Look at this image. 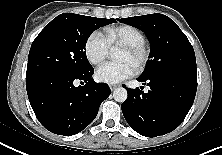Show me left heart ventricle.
Segmentation results:
<instances>
[{
	"label": "left heart ventricle",
	"instance_id": "obj_1",
	"mask_svg": "<svg viewBox=\"0 0 222 155\" xmlns=\"http://www.w3.org/2000/svg\"><path fill=\"white\" fill-rule=\"evenodd\" d=\"M118 60L119 61H126L131 63L134 67L137 63V58L133 55H131L129 52L125 51L122 49L118 55Z\"/></svg>",
	"mask_w": 222,
	"mask_h": 155
}]
</instances>
